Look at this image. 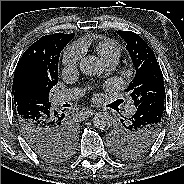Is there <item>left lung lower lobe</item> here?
I'll list each match as a JSON object with an SVG mask.
<instances>
[{"label": "left lung lower lobe", "instance_id": "left-lung-lower-lobe-1", "mask_svg": "<svg viewBox=\"0 0 184 184\" xmlns=\"http://www.w3.org/2000/svg\"><path fill=\"white\" fill-rule=\"evenodd\" d=\"M164 98L165 95H157L154 99L146 100L136 107L137 111L129 121L135 126H143L144 124H151L159 121L163 117Z\"/></svg>", "mask_w": 184, "mask_h": 184}]
</instances>
